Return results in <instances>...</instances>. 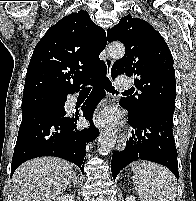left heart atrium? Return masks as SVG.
Returning <instances> with one entry per match:
<instances>
[{
    "label": "left heart atrium",
    "mask_w": 196,
    "mask_h": 201,
    "mask_svg": "<svg viewBox=\"0 0 196 201\" xmlns=\"http://www.w3.org/2000/svg\"><path fill=\"white\" fill-rule=\"evenodd\" d=\"M114 120H115V116L110 111L103 112L99 116H97L98 123H111Z\"/></svg>",
    "instance_id": "39dd6f15"
}]
</instances>
